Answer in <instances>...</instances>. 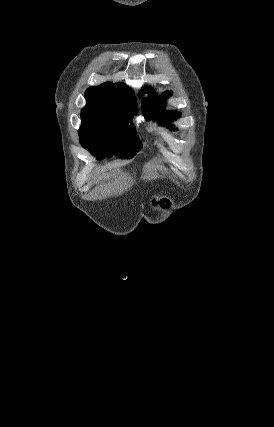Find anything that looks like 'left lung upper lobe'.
I'll use <instances>...</instances> for the list:
<instances>
[{
	"mask_svg": "<svg viewBox=\"0 0 274 427\" xmlns=\"http://www.w3.org/2000/svg\"><path fill=\"white\" fill-rule=\"evenodd\" d=\"M153 94V91H150ZM171 92H164L158 99H154V97H149L142 101V107L144 111V115L147 119L153 118L154 120H158L162 125H167L169 122L177 119L179 117V113L176 112H163L166 103L162 101V98L169 97ZM170 127L172 125H169Z\"/></svg>",
	"mask_w": 274,
	"mask_h": 427,
	"instance_id": "obj_1",
	"label": "left lung upper lobe"
}]
</instances>
